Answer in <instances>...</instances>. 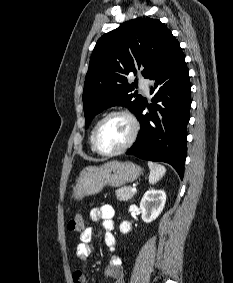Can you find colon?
<instances>
[{
	"mask_svg": "<svg viewBox=\"0 0 233 283\" xmlns=\"http://www.w3.org/2000/svg\"><path fill=\"white\" fill-rule=\"evenodd\" d=\"M85 219L81 213H77L68 223L70 232L79 233L84 230Z\"/></svg>",
	"mask_w": 233,
	"mask_h": 283,
	"instance_id": "5ec220e1",
	"label": "colon"
}]
</instances>
